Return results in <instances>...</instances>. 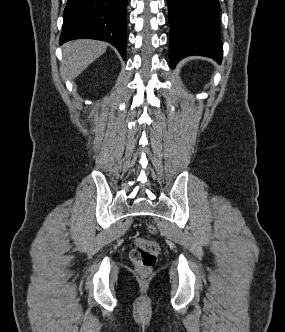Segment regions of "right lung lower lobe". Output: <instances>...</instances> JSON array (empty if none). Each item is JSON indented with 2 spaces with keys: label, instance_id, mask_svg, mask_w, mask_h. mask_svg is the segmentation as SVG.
I'll return each instance as SVG.
<instances>
[{
  "label": "right lung lower lobe",
  "instance_id": "right-lung-lower-lobe-1",
  "mask_svg": "<svg viewBox=\"0 0 285 332\" xmlns=\"http://www.w3.org/2000/svg\"><path fill=\"white\" fill-rule=\"evenodd\" d=\"M127 0H68L60 44L88 38L111 43L126 58Z\"/></svg>",
  "mask_w": 285,
  "mask_h": 332
}]
</instances>
